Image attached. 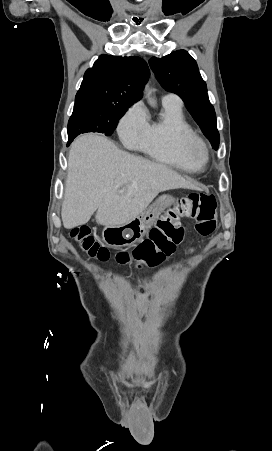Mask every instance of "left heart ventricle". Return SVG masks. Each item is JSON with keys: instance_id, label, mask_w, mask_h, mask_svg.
Returning <instances> with one entry per match:
<instances>
[{"instance_id": "1", "label": "left heart ventricle", "mask_w": 272, "mask_h": 451, "mask_svg": "<svg viewBox=\"0 0 272 451\" xmlns=\"http://www.w3.org/2000/svg\"><path fill=\"white\" fill-rule=\"evenodd\" d=\"M195 161L197 165L201 164L203 162V156L201 154H196Z\"/></svg>"}]
</instances>
